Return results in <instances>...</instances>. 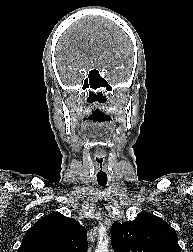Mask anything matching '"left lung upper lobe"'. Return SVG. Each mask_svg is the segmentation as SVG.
Returning a JSON list of instances; mask_svg holds the SVG:
<instances>
[{"instance_id":"1","label":"left lung upper lobe","mask_w":193,"mask_h":252,"mask_svg":"<svg viewBox=\"0 0 193 252\" xmlns=\"http://www.w3.org/2000/svg\"><path fill=\"white\" fill-rule=\"evenodd\" d=\"M111 233L114 252H181L175 230L146 212L133 221L114 223Z\"/></svg>"}]
</instances>
